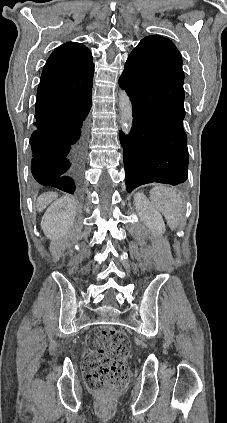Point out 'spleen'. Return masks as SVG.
Here are the masks:
<instances>
[{
	"mask_svg": "<svg viewBox=\"0 0 227 423\" xmlns=\"http://www.w3.org/2000/svg\"><path fill=\"white\" fill-rule=\"evenodd\" d=\"M150 200L155 210L160 211L164 215L169 227L176 229L180 223L185 202L175 188H168V186L159 184V186H155L151 190Z\"/></svg>",
	"mask_w": 227,
	"mask_h": 423,
	"instance_id": "obj_1",
	"label": "spleen"
}]
</instances>
